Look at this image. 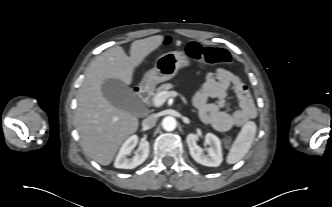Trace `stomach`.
I'll use <instances>...</instances> for the list:
<instances>
[{
  "label": "stomach",
  "instance_id": "1",
  "mask_svg": "<svg viewBox=\"0 0 332 207\" xmlns=\"http://www.w3.org/2000/svg\"><path fill=\"white\" fill-rule=\"evenodd\" d=\"M189 66L190 60L184 52L165 53L158 57L154 67L144 74L140 86L144 89H153L157 84L173 78L179 69Z\"/></svg>",
  "mask_w": 332,
  "mask_h": 207
}]
</instances>
